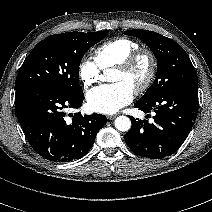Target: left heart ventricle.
<instances>
[{
  "instance_id": "obj_1",
  "label": "left heart ventricle",
  "mask_w": 212,
  "mask_h": 212,
  "mask_svg": "<svg viewBox=\"0 0 212 212\" xmlns=\"http://www.w3.org/2000/svg\"><path fill=\"white\" fill-rule=\"evenodd\" d=\"M147 73V63L146 61L142 60L137 67L129 72L125 73L118 69H114L110 75L111 82H124L134 88L136 85L141 83L145 78Z\"/></svg>"
}]
</instances>
